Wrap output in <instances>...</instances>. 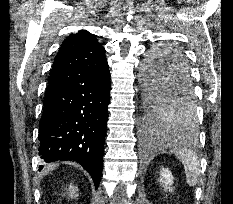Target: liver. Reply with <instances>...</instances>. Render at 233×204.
Here are the masks:
<instances>
[{
    "label": "liver",
    "instance_id": "6515ba94",
    "mask_svg": "<svg viewBox=\"0 0 233 204\" xmlns=\"http://www.w3.org/2000/svg\"><path fill=\"white\" fill-rule=\"evenodd\" d=\"M57 167L56 164H51L45 170L42 172V175H46L49 173V171L54 170Z\"/></svg>",
    "mask_w": 233,
    "mask_h": 204
}]
</instances>
